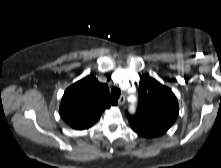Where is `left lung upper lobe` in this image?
Masks as SVG:
<instances>
[{
  "label": "left lung upper lobe",
  "mask_w": 221,
  "mask_h": 168,
  "mask_svg": "<svg viewBox=\"0 0 221 168\" xmlns=\"http://www.w3.org/2000/svg\"><path fill=\"white\" fill-rule=\"evenodd\" d=\"M178 113L173 92L149 75L141 76L137 113H127L133 131L146 138L161 136L173 125Z\"/></svg>",
  "instance_id": "left-lung-upper-lobe-1"
}]
</instances>
